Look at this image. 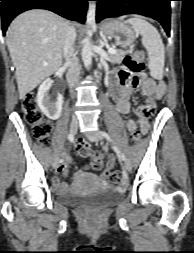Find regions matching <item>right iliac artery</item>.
<instances>
[{"label": "right iliac artery", "mask_w": 194, "mask_h": 253, "mask_svg": "<svg viewBox=\"0 0 194 253\" xmlns=\"http://www.w3.org/2000/svg\"><path fill=\"white\" fill-rule=\"evenodd\" d=\"M68 140H69L70 142H73V141H74V135H73L72 133H70V134L68 135ZM59 162L62 163V162H63V159H60Z\"/></svg>", "instance_id": "obj_1"}]
</instances>
